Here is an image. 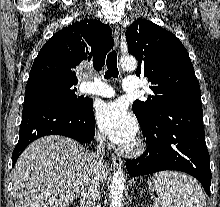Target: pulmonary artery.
I'll return each instance as SVG.
<instances>
[{
  "instance_id": "obj_1",
  "label": "pulmonary artery",
  "mask_w": 220,
  "mask_h": 207,
  "mask_svg": "<svg viewBox=\"0 0 220 207\" xmlns=\"http://www.w3.org/2000/svg\"><path fill=\"white\" fill-rule=\"evenodd\" d=\"M122 88L124 91L131 92L140 88L139 81L135 76H128L124 79ZM85 92L88 94H94L101 97L110 98L115 96L114 89L106 83L95 81L85 88Z\"/></svg>"
}]
</instances>
